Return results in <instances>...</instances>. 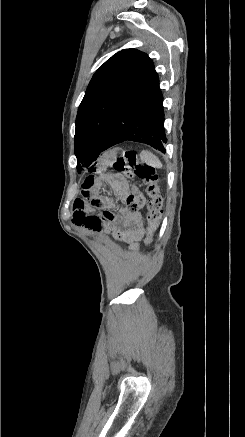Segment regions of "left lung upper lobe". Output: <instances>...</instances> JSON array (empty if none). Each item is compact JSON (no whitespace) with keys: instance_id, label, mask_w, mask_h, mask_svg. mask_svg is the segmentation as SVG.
I'll use <instances>...</instances> for the list:
<instances>
[{"instance_id":"obj_1","label":"left lung upper lobe","mask_w":245,"mask_h":437,"mask_svg":"<svg viewBox=\"0 0 245 437\" xmlns=\"http://www.w3.org/2000/svg\"><path fill=\"white\" fill-rule=\"evenodd\" d=\"M153 68L146 53L124 49L95 72L76 117L74 152L78 172L98 158L114 123Z\"/></svg>"}]
</instances>
